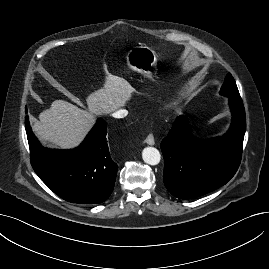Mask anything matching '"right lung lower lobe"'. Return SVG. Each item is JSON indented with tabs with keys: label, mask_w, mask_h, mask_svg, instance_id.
<instances>
[{
	"label": "right lung lower lobe",
	"mask_w": 269,
	"mask_h": 269,
	"mask_svg": "<svg viewBox=\"0 0 269 269\" xmlns=\"http://www.w3.org/2000/svg\"><path fill=\"white\" fill-rule=\"evenodd\" d=\"M31 164L39 178L58 196L79 204L107 200L114 189L118 165L106 141L107 125L99 119L83 143L71 150L47 149L25 119Z\"/></svg>",
	"instance_id": "obj_1"
}]
</instances>
